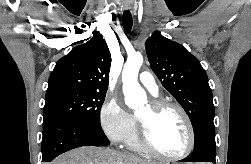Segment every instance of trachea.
Returning <instances> with one entry per match:
<instances>
[{"mask_svg": "<svg viewBox=\"0 0 251 164\" xmlns=\"http://www.w3.org/2000/svg\"><path fill=\"white\" fill-rule=\"evenodd\" d=\"M122 22H123V27L125 31L129 33L133 25L132 15L129 10L124 11Z\"/></svg>", "mask_w": 251, "mask_h": 164, "instance_id": "obj_1", "label": "trachea"}]
</instances>
